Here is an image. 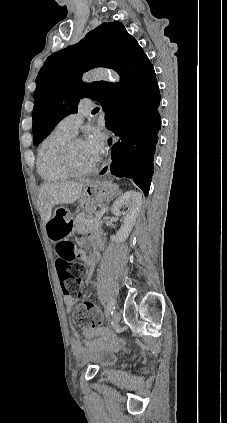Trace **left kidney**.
<instances>
[{"mask_svg": "<svg viewBox=\"0 0 227 423\" xmlns=\"http://www.w3.org/2000/svg\"><path fill=\"white\" fill-rule=\"evenodd\" d=\"M141 204L142 194H140V192H133V190L125 192L123 196H120V198L114 202L112 206V213H114V215H121L120 210H122V208H128V210L124 215L123 223L120 229H118L116 235H110L111 241L120 243V241L127 239L129 233H131L133 229V225L139 215V211L141 210Z\"/></svg>", "mask_w": 227, "mask_h": 423, "instance_id": "5707ae66", "label": "left kidney"}]
</instances>
